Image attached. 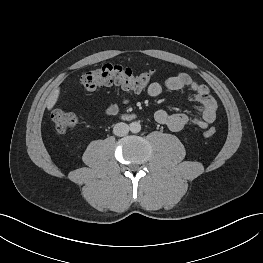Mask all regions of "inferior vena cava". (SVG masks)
<instances>
[{
	"mask_svg": "<svg viewBox=\"0 0 263 263\" xmlns=\"http://www.w3.org/2000/svg\"><path fill=\"white\" fill-rule=\"evenodd\" d=\"M130 128L126 123L120 122L117 123L113 128V133L116 136H125L128 134Z\"/></svg>",
	"mask_w": 263,
	"mask_h": 263,
	"instance_id": "1",
	"label": "inferior vena cava"
}]
</instances>
